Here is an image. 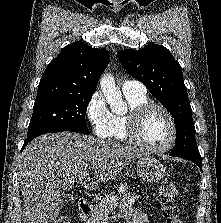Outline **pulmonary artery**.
Wrapping results in <instances>:
<instances>
[{
  "label": "pulmonary artery",
  "instance_id": "e3ab8cb5",
  "mask_svg": "<svg viewBox=\"0 0 221 223\" xmlns=\"http://www.w3.org/2000/svg\"><path fill=\"white\" fill-rule=\"evenodd\" d=\"M122 91L124 94H145V85L135 79H128L122 84Z\"/></svg>",
  "mask_w": 221,
  "mask_h": 223
}]
</instances>
